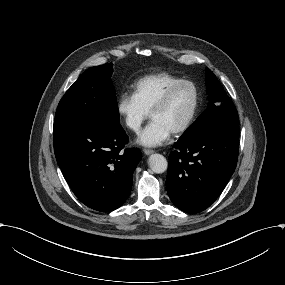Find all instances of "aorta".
Listing matches in <instances>:
<instances>
[{
	"label": "aorta",
	"instance_id": "obj_1",
	"mask_svg": "<svg viewBox=\"0 0 285 285\" xmlns=\"http://www.w3.org/2000/svg\"><path fill=\"white\" fill-rule=\"evenodd\" d=\"M150 169L155 173H163L167 170L168 163L161 154H152L148 160Z\"/></svg>",
	"mask_w": 285,
	"mask_h": 285
}]
</instances>
